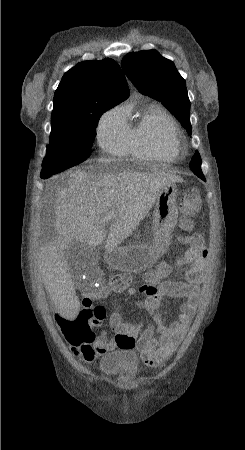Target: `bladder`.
<instances>
[{"label": "bladder", "instance_id": "bladder-1", "mask_svg": "<svg viewBox=\"0 0 245 450\" xmlns=\"http://www.w3.org/2000/svg\"><path fill=\"white\" fill-rule=\"evenodd\" d=\"M100 368L106 377H133L139 373L138 359L131 349L106 355L100 360Z\"/></svg>", "mask_w": 245, "mask_h": 450}]
</instances>
